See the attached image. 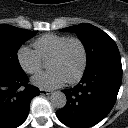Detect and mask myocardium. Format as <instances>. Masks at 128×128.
<instances>
[{
  "label": "myocardium",
  "instance_id": "obj_1",
  "mask_svg": "<svg viewBox=\"0 0 128 128\" xmlns=\"http://www.w3.org/2000/svg\"><path fill=\"white\" fill-rule=\"evenodd\" d=\"M73 43L78 44L81 48L82 66H81L80 71L78 72V74L75 77H73L70 80H67V83H69V84H74V83L79 82L83 78V76L86 72V69L88 66V50H87L85 43L80 38L71 37L66 42H64V44L60 47V49L49 60V61L61 60L65 56L68 47Z\"/></svg>",
  "mask_w": 128,
  "mask_h": 128
}]
</instances>
